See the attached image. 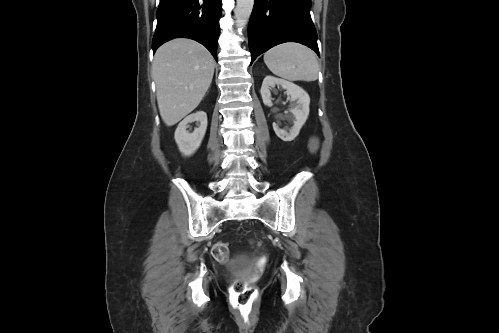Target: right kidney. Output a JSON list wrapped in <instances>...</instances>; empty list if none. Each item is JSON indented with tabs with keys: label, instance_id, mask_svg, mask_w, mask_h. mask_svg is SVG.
I'll use <instances>...</instances> for the list:
<instances>
[{
	"label": "right kidney",
	"instance_id": "obj_1",
	"mask_svg": "<svg viewBox=\"0 0 499 333\" xmlns=\"http://www.w3.org/2000/svg\"><path fill=\"white\" fill-rule=\"evenodd\" d=\"M199 122L200 125L192 133L186 129L189 123ZM207 129V115L204 111H198L187 116L181 121L175 131V141L180 152L184 156H191L200 147Z\"/></svg>",
	"mask_w": 499,
	"mask_h": 333
}]
</instances>
